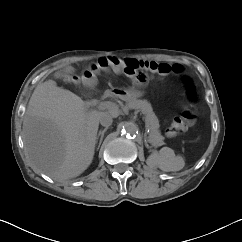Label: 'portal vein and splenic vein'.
<instances>
[{"label":"portal vein and splenic vein","mask_w":242,"mask_h":242,"mask_svg":"<svg viewBox=\"0 0 242 242\" xmlns=\"http://www.w3.org/2000/svg\"><path fill=\"white\" fill-rule=\"evenodd\" d=\"M99 108L100 109L106 108V109H109L110 111H117L118 110L116 104L113 103V102H110V101L100 103ZM146 128H148L147 124H146Z\"/></svg>","instance_id":"portal-vein-and-splenic-vein-1"}]
</instances>
